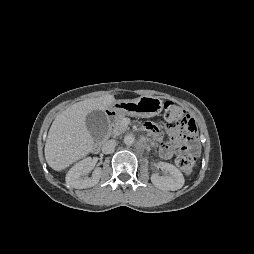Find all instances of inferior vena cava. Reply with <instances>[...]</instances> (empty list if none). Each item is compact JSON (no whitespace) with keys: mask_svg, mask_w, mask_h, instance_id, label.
<instances>
[{"mask_svg":"<svg viewBox=\"0 0 254 254\" xmlns=\"http://www.w3.org/2000/svg\"><path fill=\"white\" fill-rule=\"evenodd\" d=\"M116 147V141L114 139L108 140L102 145V152L105 154H109L114 151Z\"/></svg>","mask_w":254,"mask_h":254,"instance_id":"inferior-vena-cava-1","label":"inferior vena cava"}]
</instances>
